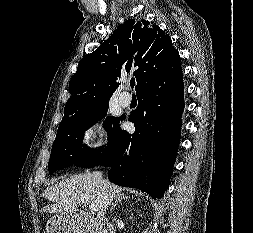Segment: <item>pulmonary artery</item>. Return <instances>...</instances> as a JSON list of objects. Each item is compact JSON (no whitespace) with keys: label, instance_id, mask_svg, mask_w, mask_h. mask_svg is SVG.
<instances>
[{"label":"pulmonary artery","instance_id":"pulmonary-artery-1","mask_svg":"<svg viewBox=\"0 0 253 233\" xmlns=\"http://www.w3.org/2000/svg\"><path fill=\"white\" fill-rule=\"evenodd\" d=\"M119 103L122 107H128L131 103V98L127 93H123L119 97Z\"/></svg>","mask_w":253,"mask_h":233}]
</instances>
